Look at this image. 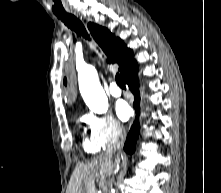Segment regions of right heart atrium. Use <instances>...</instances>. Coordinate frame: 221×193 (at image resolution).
<instances>
[{"instance_id":"obj_1","label":"right heart atrium","mask_w":221,"mask_h":193,"mask_svg":"<svg viewBox=\"0 0 221 193\" xmlns=\"http://www.w3.org/2000/svg\"><path fill=\"white\" fill-rule=\"evenodd\" d=\"M85 120L91 137L103 148L114 144L125 134L124 126L110 114H89Z\"/></svg>"}]
</instances>
